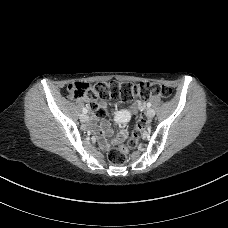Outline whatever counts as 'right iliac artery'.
Instances as JSON below:
<instances>
[{"label": "right iliac artery", "mask_w": 228, "mask_h": 228, "mask_svg": "<svg viewBox=\"0 0 228 228\" xmlns=\"http://www.w3.org/2000/svg\"><path fill=\"white\" fill-rule=\"evenodd\" d=\"M85 114L87 113V109L86 108H83L82 110Z\"/></svg>", "instance_id": "82829eb1"}]
</instances>
